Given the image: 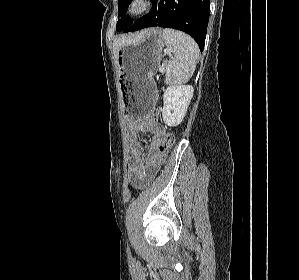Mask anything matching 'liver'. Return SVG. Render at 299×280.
I'll use <instances>...</instances> for the list:
<instances>
[{
	"mask_svg": "<svg viewBox=\"0 0 299 280\" xmlns=\"http://www.w3.org/2000/svg\"><path fill=\"white\" fill-rule=\"evenodd\" d=\"M131 41V38H127V37H122V38H118L116 39L114 42H113V53H114V57H115V60L117 61V58H118V52L119 50L121 49V47L130 42Z\"/></svg>",
	"mask_w": 299,
	"mask_h": 280,
	"instance_id": "1",
	"label": "liver"
}]
</instances>
